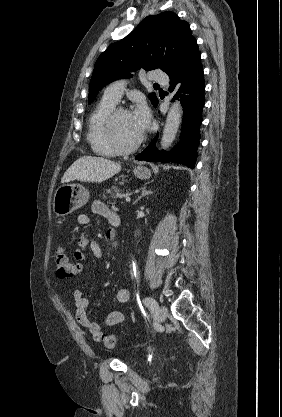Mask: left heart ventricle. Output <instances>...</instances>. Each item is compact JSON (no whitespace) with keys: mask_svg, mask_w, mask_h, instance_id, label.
I'll return each instance as SVG.
<instances>
[{"mask_svg":"<svg viewBox=\"0 0 282 417\" xmlns=\"http://www.w3.org/2000/svg\"><path fill=\"white\" fill-rule=\"evenodd\" d=\"M100 132L106 137L108 130L105 121L102 120L99 125ZM142 134V130L138 127L134 115L121 114L115 123V135L123 144H131L135 142Z\"/></svg>","mask_w":282,"mask_h":417,"instance_id":"1","label":"left heart ventricle"}]
</instances>
